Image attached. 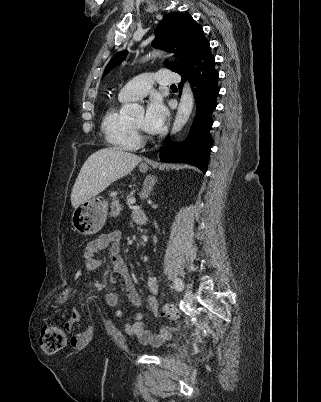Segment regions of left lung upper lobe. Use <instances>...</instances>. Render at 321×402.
<instances>
[{
	"label": "left lung upper lobe",
	"mask_w": 321,
	"mask_h": 402,
	"mask_svg": "<svg viewBox=\"0 0 321 402\" xmlns=\"http://www.w3.org/2000/svg\"><path fill=\"white\" fill-rule=\"evenodd\" d=\"M152 45L174 52L180 62H171L170 69L181 73L191 61L198 48L207 40L202 27L188 14L173 12L160 21ZM127 51L116 53L109 61L104 75L126 58Z\"/></svg>",
	"instance_id": "5c2ea615"
}]
</instances>
